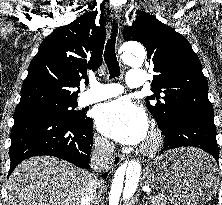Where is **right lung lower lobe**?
I'll use <instances>...</instances> for the list:
<instances>
[{"label": "right lung lower lobe", "instance_id": "right-lung-lower-lobe-1", "mask_svg": "<svg viewBox=\"0 0 222 205\" xmlns=\"http://www.w3.org/2000/svg\"><path fill=\"white\" fill-rule=\"evenodd\" d=\"M92 131V119L86 124H78L43 109L15 112L8 176L21 161L38 155L55 156L79 167L89 168ZM106 175L101 176L104 178Z\"/></svg>", "mask_w": 222, "mask_h": 205}]
</instances>
